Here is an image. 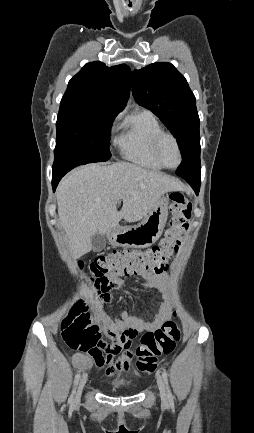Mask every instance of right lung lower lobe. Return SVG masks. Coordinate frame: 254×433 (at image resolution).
Listing matches in <instances>:
<instances>
[{
  "instance_id": "obj_1",
  "label": "right lung lower lobe",
  "mask_w": 254,
  "mask_h": 433,
  "mask_svg": "<svg viewBox=\"0 0 254 433\" xmlns=\"http://www.w3.org/2000/svg\"><path fill=\"white\" fill-rule=\"evenodd\" d=\"M86 164L84 161H80L72 155H60L55 156L53 164V176H52V187L55 191L61 178L71 169L78 165Z\"/></svg>"
}]
</instances>
